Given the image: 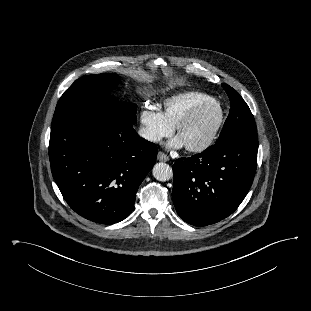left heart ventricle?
Returning a JSON list of instances; mask_svg holds the SVG:
<instances>
[{
	"instance_id": "b2bd125f",
	"label": "left heart ventricle",
	"mask_w": 311,
	"mask_h": 311,
	"mask_svg": "<svg viewBox=\"0 0 311 311\" xmlns=\"http://www.w3.org/2000/svg\"><path fill=\"white\" fill-rule=\"evenodd\" d=\"M217 117V108L210 105L178 135L184 145H197L209 135Z\"/></svg>"
}]
</instances>
